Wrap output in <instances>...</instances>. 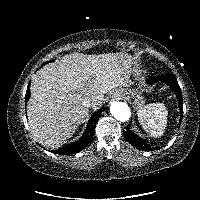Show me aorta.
I'll use <instances>...</instances> for the list:
<instances>
[{
    "label": "aorta",
    "instance_id": "obj_1",
    "mask_svg": "<svg viewBox=\"0 0 200 200\" xmlns=\"http://www.w3.org/2000/svg\"><path fill=\"white\" fill-rule=\"evenodd\" d=\"M110 112L115 119L121 122L129 120L131 117V110L124 102H112Z\"/></svg>",
    "mask_w": 200,
    "mask_h": 200
}]
</instances>
